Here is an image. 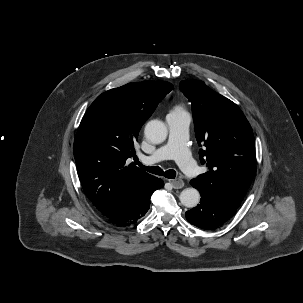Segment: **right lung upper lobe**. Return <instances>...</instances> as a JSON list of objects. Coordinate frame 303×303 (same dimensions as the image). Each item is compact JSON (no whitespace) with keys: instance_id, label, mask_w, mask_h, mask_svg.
I'll return each mask as SVG.
<instances>
[{"instance_id":"obj_1","label":"right lung upper lobe","mask_w":303,"mask_h":303,"mask_svg":"<svg viewBox=\"0 0 303 303\" xmlns=\"http://www.w3.org/2000/svg\"><path fill=\"white\" fill-rule=\"evenodd\" d=\"M172 89L166 81L126 84L102 93L83 116L74 157L83 191L102 214L154 177L125 163L142 125Z\"/></svg>"}]
</instances>
